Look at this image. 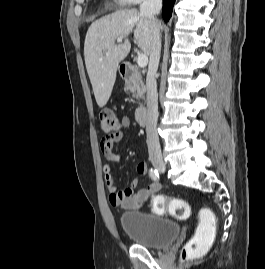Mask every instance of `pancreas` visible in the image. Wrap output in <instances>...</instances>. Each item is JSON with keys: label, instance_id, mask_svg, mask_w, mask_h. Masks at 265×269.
<instances>
[{"label": "pancreas", "instance_id": "cf45deb5", "mask_svg": "<svg viewBox=\"0 0 265 269\" xmlns=\"http://www.w3.org/2000/svg\"><path fill=\"white\" fill-rule=\"evenodd\" d=\"M126 89H130L133 97L136 99L143 97L145 88L141 75L138 73V71H135L132 79L126 83Z\"/></svg>", "mask_w": 265, "mask_h": 269}]
</instances>
